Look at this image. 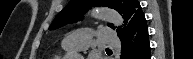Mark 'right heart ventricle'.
Instances as JSON below:
<instances>
[{
	"instance_id": "obj_1",
	"label": "right heart ventricle",
	"mask_w": 193,
	"mask_h": 59,
	"mask_svg": "<svg viewBox=\"0 0 193 59\" xmlns=\"http://www.w3.org/2000/svg\"><path fill=\"white\" fill-rule=\"evenodd\" d=\"M64 51H66V50H64ZM52 59H61V57L59 55H56Z\"/></svg>"
}]
</instances>
